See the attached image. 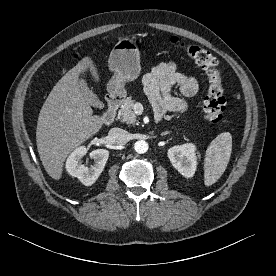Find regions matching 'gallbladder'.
Here are the masks:
<instances>
[{
	"instance_id": "obj_1",
	"label": "gallbladder",
	"mask_w": 276,
	"mask_h": 276,
	"mask_svg": "<svg viewBox=\"0 0 276 276\" xmlns=\"http://www.w3.org/2000/svg\"><path fill=\"white\" fill-rule=\"evenodd\" d=\"M80 89L83 93L85 100L92 106H96L99 103L98 97L90 90L84 79H79Z\"/></svg>"
}]
</instances>
